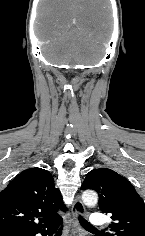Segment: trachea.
Wrapping results in <instances>:
<instances>
[{
    "instance_id": "3493384b",
    "label": "trachea",
    "mask_w": 145,
    "mask_h": 236,
    "mask_svg": "<svg viewBox=\"0 0 145 236\" xmlns=\"http://www.w3.org/2000/svg\"><path fill=\"white\" fill-rule=\"evenodd\" d=\"M80 224L84 227V228H89V229H95L86 219H84L83 217L79 216L78 217Z\"/></svg>"
}]
</instances>
